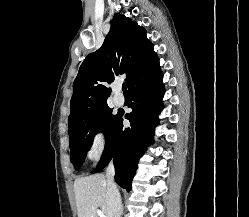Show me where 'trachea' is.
<instances>
[{"label":"trachea","instance_id":"trachea-1","mask_svg":"<svg viewBox=\"0 0 249 217\" xmlns=\"http://www.w3.org/2000/svg\"><path fill=\"white\" fill-rule=\"evenodd\" d=\"M122 90H123L124 94H127V84L126 83H123Z\"/></svg>","mask_w":249,"mask_h":217}]
</instances>
